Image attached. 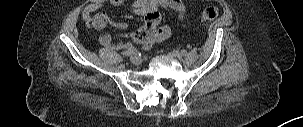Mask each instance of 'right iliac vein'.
I'll return each mask as SVG.
<instances>
[{
    "mask_svg": "<svg viewBox=\"0 0 303 127\" xmlns=\"http://www.w3.org/2000/svg\"><path fill=\"white\" fill-rule=\"evenodd\" d=\"M130 61H131L133 64H135V65H140V64L142 63V59H141L139 56H137V55L132 56V57L130 58Z\"/></svg>",
    "mask_w": 303,
    "mask_h": 127,
    "instance_id": "1",
    "label": "right iliac vein"
}]
</instances>
